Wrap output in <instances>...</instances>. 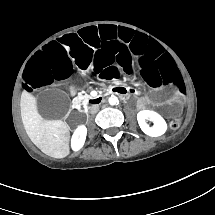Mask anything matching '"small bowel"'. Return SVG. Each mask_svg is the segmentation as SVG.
Listing matches in <instances>:
<instances>
[{
  "label": "small bowel",
  "instance_id": "1",
  "mask_svg": "<svg viewBox=\"0 0 215 215\" xmlns=\"http://www.w3.org/2000/svg\"><path fill=\"white\" fill-rule=\"evenodd\" d=\"M131 92H134L135 90L134 89H130V88H128Z\"/></svg>",
  "mask_w": 215,
  "mask_h": 215
}]
</instances>
